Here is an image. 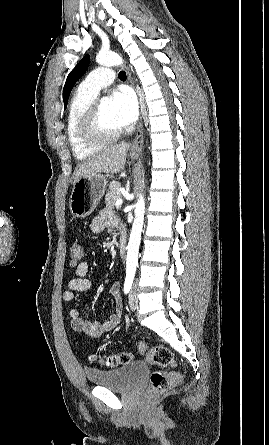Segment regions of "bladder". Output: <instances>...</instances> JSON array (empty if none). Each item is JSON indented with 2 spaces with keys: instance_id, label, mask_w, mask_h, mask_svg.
Wrapping results in <instances>:
<instances>
[{
  "instance_id": "31cf9c89",
  "label": "bladder",
  "mask_w": 269,
  "mask_h": 445,
  "mask_svg": "<svg viewBox=\"0 0 269 445\" xmlns=\"http://www.w3.org/2000/svg\"><path fill=\"white\" fill-rule=\"evenodd\" d=\"M148 366L143 361H134L115 369L85 368L86 381L97 387L112 391H125L133 387L146 374Z\"/></svg>"
}]
</instances>
